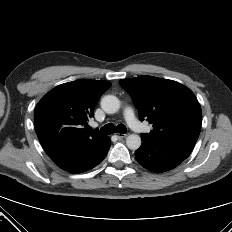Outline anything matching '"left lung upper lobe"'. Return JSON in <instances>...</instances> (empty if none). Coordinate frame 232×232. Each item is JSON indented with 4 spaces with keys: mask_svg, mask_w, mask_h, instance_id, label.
Segmentation results:
<instances>
[{
    "mask_svg": "<svg viewBox=\"0 0 232 232\" xmlns=\"http://www.w3.org/2000/svg\"><path fill=\"white\" fill-rule=\"evenodd\" d=\"M119 83L132 97L140 118L153 124L154 129L141 136L156 141H197L202 112L189 88L153 76L121 79Z\"/></svg>",
    "mask_w": 232,
    "mask_h": 232,
    "instance_id": "5c2ea615",
    "label": "left lung upper lobe"
}]
</instances>
